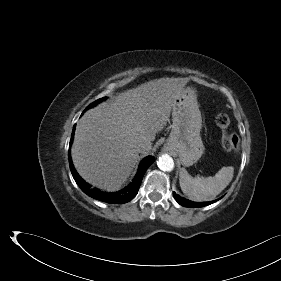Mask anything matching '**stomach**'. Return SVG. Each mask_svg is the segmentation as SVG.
<instances>
[{
    "instance_id": "1",
    "label": "stomach",
    "mask_w": 281,
    "mask_h": 281,
    "mask_svg": "<svg viewBox=\"0 0 281 281\" xmlns=\"http://www.w3.org/2000/svg\"><path fill=\"white\" fill-rule=\"evenodd\" d=\"M172 122L164 150L178 156L183 166H192L204 152L200 136L202 117L193 88H184L175 99L172 106Z\"/></svg>"
}]
</instances>
